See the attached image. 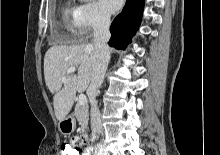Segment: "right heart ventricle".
<instances>
[{"label":"right heart ventricle","instance_id":"right-heart-ventricle-1","mask_svg":"<svg viewBox=\"0 0 220 155\" xmlns=\"http://www.w3.org/2000/svg\"><path fill=\"white\" fill-rule=\"evenodd\" d=\"M78 6L72 0H66L62 9V20L66 31L73 37L80 33L77 28Z\"/></svg>","mask_w":220,"mask_h":155}]
</instances>
